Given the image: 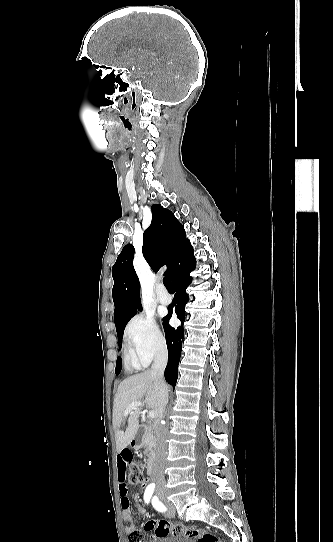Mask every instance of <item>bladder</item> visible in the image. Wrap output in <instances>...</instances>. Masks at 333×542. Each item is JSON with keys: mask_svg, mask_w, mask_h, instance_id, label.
I'll return each instance as SVG.
<instances>
[{"mask_svg": "<svg viewBox=\"0 0 333 542\" xmlns=\"http://www.w3.org/2000/svg\"><path fill=\"white\" fill-rule=\"evenodd\" d=\"M160 542H196L193 538H187L183 535H168L161 538Z\"/></svg>", "mask_w": 333, "mask_h": 542, "instance_id": "obj_1", "label": "bladder"}]
</instances>
